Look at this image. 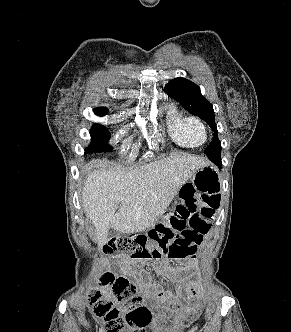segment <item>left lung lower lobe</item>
I'll return each instance as SVG.
<instances>
[{
    "label": "left lung lower lobe",
    "instance_id": "0a47b994",
    "mask_svg": "<svg viewBox=\"0 0 291 332\" xmlns=\"http://www.w3.org/2000/svg\"><path fill=\"white\" fill-rule=\"evenodd\" d=\"M211 161H213L218 167H221V158H213L211 159Z\"/></svg>",
    "mask_w": 291,
    "mask_h": 332
}]
</instances>
